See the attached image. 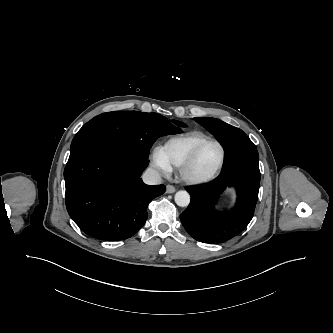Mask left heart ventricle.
<instances>
[{
	"instance_id": "left-heart-ventricle-1",
	"label": "left heart ventricle",
	"mask_w": 333,
	"mask_h": 333,
	"mask_svg": "<svg viewBox=\"0 0 333 333\" xmlns=\"http://www.w3.org/2000/svg\"><path fill=\"white\" fill-rule=\"evenodd\" d=\"M220 154V149L216 144L209 143L205 145L199 152L192 167V174L195 176H204L210 173L217 165Z\"/></svg>"
}]
</instances>
